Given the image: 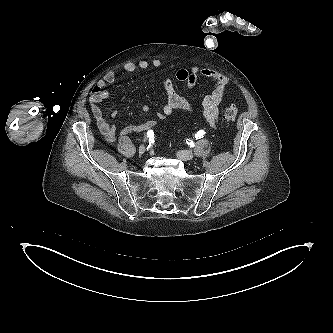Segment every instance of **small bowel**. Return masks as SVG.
Listing matches in <instances>:
<instances>
[{"label": "small bowel", "instance_id": "c3829d8e", "mask_svg": "<svg viewBox=\"0 0 333 333\" xmlns=\"http://www.w3.org/2000/svg\"><path fill=\"white\" fill-rule=\"evenodd\" d=\"M161 61L154 59L152 61L139 60L138 62H127L123 68L127 72H135L139 69L144 70L150 66L160 68ZM175 77L178 81L183 82L189 89L195 87L198 78L204 77L213 81L214 85L212 90L203 98L202 106L199 110L200 114L204 117L211 127H215L218 122L219 104L224 95L225 89L228 85V78L210 68H199L197 66L190 69L181 68L176 71ZM116 81V74L114 71L107 72L104 77L95 85L90 96V104L92 113L96 120L97 127L100 132L109 140L114 141L117 136H125L132 133L146 132L151 130L157 123L155 119L148 120L139 125H128L118 129L114 124L108 123L102 113L101 103L109 97V92L106 88ZM163 87L166 96V104L162 110L156 114L158 120L164 119L175 110H180L188 113L196 111L195 107L184 97L180 96L169 78L163 80ZM143 112L149 111L148 106L142 107ZM116 114L113 113L114 117Z\"/></svg>", "mask_w": 333, "mask_h": 333}]
</instances>
